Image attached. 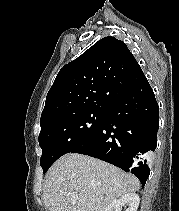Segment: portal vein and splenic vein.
<instances>
[{"label": "portal vein and splenic vein", "instance_id": "18ae733b", "mask_svg": "<svg viewBox=\"0 0 179 211\" xmlns=\"http://www.w3.org/2000/svg\"><path fill=\"white\" fill-rule=\"evenodd\" d=\"M80 201H81V202H85V199H82V198H81Z\"/></svg>", "mask_w": 179, "mask_h": 211}]
</instances>
